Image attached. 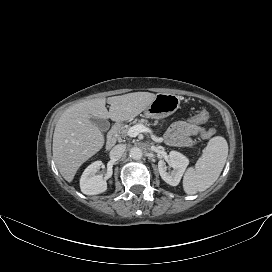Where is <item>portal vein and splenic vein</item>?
Returning a JSON list of instances; mask_svg holds the SVG:
<instances>
[{
	"instance_id": "1",
	"label": "portal vein and splenic vein",
	"mask_w": 272,
	"mask_h": 272,
	"mask_svg": "<svg viewBox=\"0 0 272 272\" xmlns=\"http://www.w3.org/2000/svg\"><path fill=\"white\" fill-rule=\"evenodd\" d=\"M144 132H151V130L144 125H134L130 127L128 131V135L130 137H136L139 135V133H144Z\"/></svg>"
}]
</instances>
